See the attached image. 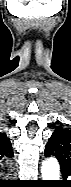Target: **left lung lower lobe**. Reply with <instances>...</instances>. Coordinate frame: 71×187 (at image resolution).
Masks as SVG:
<instances>
[{
	"label": "left lung lower lobe",
	"instance_id": "left-lung-lower-lobe-1",
	"mask_svg": "<svg viewBox=\"0 0 71 187\" xmlns=\"http://www.w3.org/2000/svg\"><path fill=\"white\" fill-rule=\"evenodd\" d=\"M46 157H49V155H45ZM62 171V175H63V178H67L69 175H71L70 173H68L67 171H64V170H61Z\"/></svg>",
	"mask_w": 71,
	"mask_h": 187
}]
</instances>
